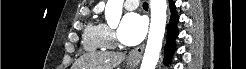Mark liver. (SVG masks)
<instances>
[{"label":"liver","mask_w":246,"mask_h":69,"mask_svg":"<svg viewBox=\"0 0 246 69\" xmlns=\"http://www.w3.org/2000/svg\"><path fill=\"white\" fill-rule=\"evenodd\" d=\"M125 59V54L116 52H99L86 54L75 63V69H114Z\"/></svg>","instance_id":"6515ba94"}]
</instances>
